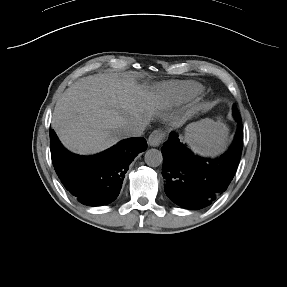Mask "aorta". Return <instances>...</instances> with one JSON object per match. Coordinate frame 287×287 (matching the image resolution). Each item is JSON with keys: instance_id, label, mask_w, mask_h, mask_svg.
Instances as JSON below:
<instances>
[{"instance_id": "1", "label": "aorta", "mask_w": 287, "mask_h": 287, "mask_svg": "<svg viewBox=\"0 0 287 287\" xmlns=\"http://www.w3.org/2000/svg\"><path fill=\"white\" fill-rule=\"evenodd\" d=\"M145 163L150 167H158L163 162V156L161 151L152 148L146 151L144 156Z\"/></svg>"}]
</instances>
